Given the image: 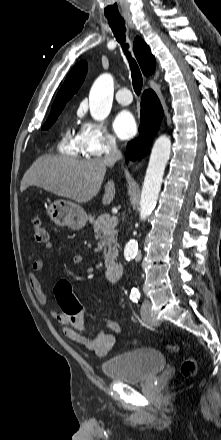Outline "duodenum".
<instances>
[{"label":"duodenum","mask_w":221,"mask_h":440,"mask_svg":"<svg viewBox=\"0 0 221 440\" xmlns=\"http://www.w3.org/2000/svg\"><path fill=\"white\" fill-rule=\"evenodd\" d=\"M123 275V267L118 262H110L106 266V277L113 282L119 281Z\"/></svg>","instance_id":"duodenum-1"}]
</instances>
